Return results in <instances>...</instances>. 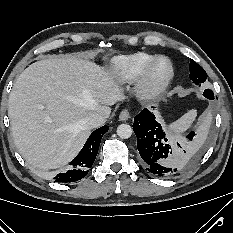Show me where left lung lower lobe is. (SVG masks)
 I'll return each instance as SVG.
<instances>
[{"mask_svg": "<svg viewBox=\"0 0 233 233\" xmlns=\"http://www.w3.org/2000/svg\"><path fill=\"white\" fill-rule=\"evenodd\" d=\"M203 95L213 100L214 94L206 89ZM133 129L137 137V148L146 170L159 177H171L190 167L201 155L202 148L194 141V133L188 135L187 144H173L166 138L155 116L143 109L134 117Z\"/></svg>", "mask_w": 233, "mask_h": 233, "instance_id": "left-lung-lower-lobe-1", "label": "left lung lower lobe"}]
</instances>
